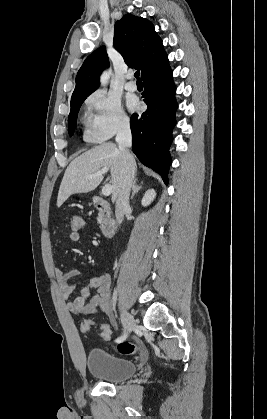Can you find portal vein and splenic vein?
<instances>
[{
  "instance_id": "1",
  "label": "portal vein and splenic vein",
  "mask_w": 267,
  "mask_h": 419,
  "mask_svg": "<svg viewBox=\"0 0 267 419\" xmlns=\"http://www.w3.org/2000/svg\"><path fill=\"white\" fill-rule=\"evenodd\" d=\"M107 171H108V168L104 167V168L100 169L98 172H96L95 174L88 175L86 177L87 178H94V177L101 176V175L105 174ZM111 193H112V185L105 184L102 188V194L104 196H109Z\"/></svg>"
}]
</instances>
